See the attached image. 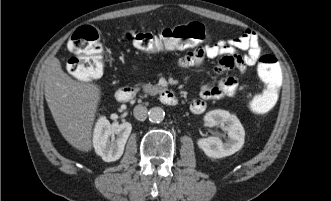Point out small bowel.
<instances>
[{"mask_svg": "<svg viewBox=\"0 0 331 201\" xmlns=\"http://www.w3.org/2000/svg\"><path fill=\"white\" fill-rule=\"evenodd\" d=\"M261 53L262 44L259 37L246 31L239 37L190 50L178 60L177 66L181 70L198 68L206 59H219L214 68L218 75L233 68L244 72L247 67L257 63ZM238 91L239 84L234 77H221L215 85L205 84L201 87L200 97L192 101L190 110L194 114H201L206 109V100L233 97Z\"/></svg>", "mask_w": 331, "mask_h": 201, "instance_id": "c3829d8e", "label": "small bowel"}]
</instances>
